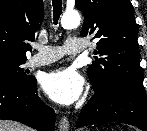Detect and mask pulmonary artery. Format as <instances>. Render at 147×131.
<instances>
[{"mask_svg":"<svg viewBox=\"0 0 147 131\" xmlns=\"http://www.w3.org/2000/svg\"><path fill=\"white\" fill-rule=\"evenodd\" d=\"M84 43L77 38H69L63 46L36 45L38 53L30 58L31 67H40L57 61L64 55H75L84 50Z\"/></svg>","mask_w":147,"mask_h":131,"instance_id":"obj_1","label":"pulmonary artery"}]
</instances>
